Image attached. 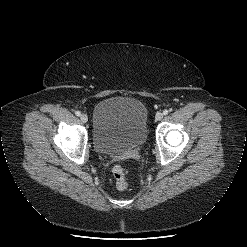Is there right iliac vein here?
I'll use <instances>...</instances> for the list:
<instances>
[{"instance_id": "right-iliac-vein-1", "label": "right iliac vein", "mask_w": 247, "mask_h": 247, "mask_svg": "<svg viewBox=\"0 0 247 247\" xmlns=\"http://www.w3.org/2000/svg\"><path fill=\"white\" fill-rule=\"evenodd\" d=\"M80 119H81L82 122L86 123L88 121V116L86 114H82L80 116Z\"/></svg>"}]
</instances>
